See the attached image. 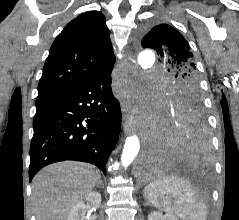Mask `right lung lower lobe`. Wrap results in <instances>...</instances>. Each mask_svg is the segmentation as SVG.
Returning <instances> with one entry per match:
<instances>
[{
    "label": "right lung lower lobe",
    "instance_id": "right-lung-lower-lobe-1",
    "mask_svg": "<svg viewBox=\"0 0 239 220\" xmlns=\"http://www.w3.org/2000/svg\"><path fill=\"white\" fill-rule=\"evenodd\" d=\"M111 71L107 69L82 85L37 97L30 182L42 167L63 160L92 163L106 175L121 124Z\"/></svg>",
    "mask_w": 239,
    "mask_h": 220
}]
</instances>
